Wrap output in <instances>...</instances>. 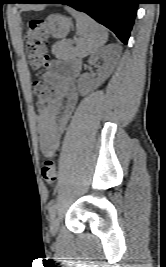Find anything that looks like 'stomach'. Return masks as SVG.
<instances>
[{
    "mask_svg": "<svg viewBox=\"0 0 166 267\" xmlns=\"http://www.w3.org/2000/svg\"><path fill=\"white\" fill-rule=\"evenodd\" d=\"M71 26V19L61 14H52L46 19V29L48 33L57 39L66 37Z\"/></svg>",
    "mask_w": 166,
    "mask_h": 267,
    "instance_id": "1",
    "label": "stomach"
}]
</instances>
